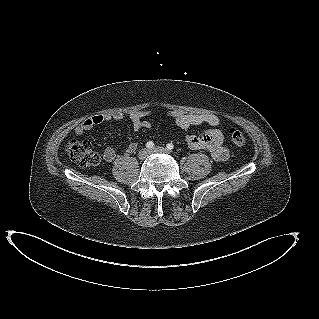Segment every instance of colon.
<instances>
[{
    "instance_id": "obj_1",
    "label": "colon",
    "mask_w": 319,
    "mask_h": 319,
    "mask_svg": "<svg viewBox=\"0 0 319 319\" xmlns=\"http://www.w3.org/2000/svg\"><path fill=\"white\" fill-rule=\"evenodd\" d=\"M229 136L231 141L239 147L246 143L245 136L237 129H230ZM65 152L71 161L82 167L93 166L99 162L98 155L92 150L88 141L72 139L67 142Z\"/></svg>"
}]
</instances>
